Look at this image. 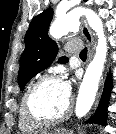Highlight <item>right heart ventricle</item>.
Listing matches in <instances>:
<instances>
[{"label":"right heart ventricle","mask_w":116,"mask_h":134,"mask_svg":"<svg viewBox=\"0 0 116 134\" xmlns=\"http://www.w3.org/2000/svg\"><path fill=\"white\" fill-rule=\"evenodd\" d=\"M32 84H30L26 90L24 91L21 100H20V107H19V113H18V126L19 129L23 132V133H33L37 130L40 129L39 124H36L34 122H32L31 120L28 119V117L26 116L24 109H23V98L24 95L26 93V91L28 90V88L31 86Z\"/></svg>","instance_id":"obj_1"}]
</instances>
